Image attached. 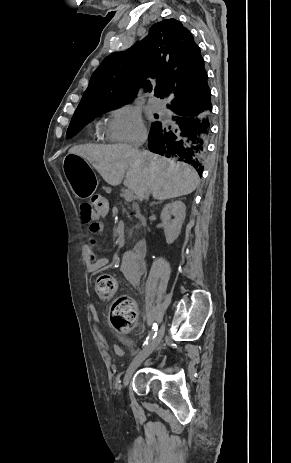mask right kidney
Wrapping results in <instances>:
<instances>
[{
	"label": "right kidney",
	"instance_id": "1",
	"mask_svg": "<svg viewBox=\"0 0 291 463\" xmlns=\"http://www.w3.org/2000/svg\"><path fill=\"white\" fill-rule=\"evenodd\" d=\"M186 206L182 201H174L164 206L161 212L162 226L168 244L173 243L181 232L186 216ZM174 216V219H171Z\"/></svg>",
	"mask_w": 291,
	"mask_h": 463
}]
</instances>
